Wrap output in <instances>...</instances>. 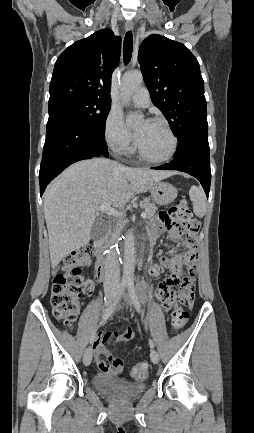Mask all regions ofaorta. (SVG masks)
Returning a JSON list of instances; mask_svg holds the SVG:
<instances>
[{
  "label": "aorta",
  "mask_w": 254,
  "mask_h": 433,
  "mask_svg": "<svg viewBox=\"0 0 254 433\" xmlns=\"http://www.w3.org/2000/svg\"><path fill=\"white\" fill-rule=\"evenodd\" d=\"M143 76L140 71L126 72L122 78V99L128 103L131 94L140 87ZM142 114H128L126 122L130 125L137 123L142 119ZM135 271V246L134 235L128 232L125 236L124 244V262H123V282H131Z\"/></svg>",
  "instance_id": "aorta-1"
}]
</instances>
